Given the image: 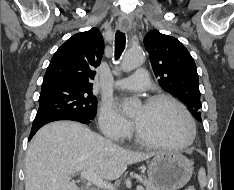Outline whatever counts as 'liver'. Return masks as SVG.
Listing matches in <instances>:
<instances>
[{
	"label": "liver",
	"mask_w": 234,
	"mask_h": 190,
	"mask_svg": "<svg viewBox=\"0 0 234 190\" xmlns=\"http://www.w3.org/2000/svg\"><path fill=\"white\" fill-rule=\"evenodd\" d=\"M153 155L119 147L77 122H53L42 127L29 144L25 190H79L71 178L89 169L112 181L127 165Z\"/></svg>",
	"instance_id": "1"
}]
</instances>
